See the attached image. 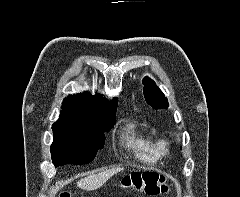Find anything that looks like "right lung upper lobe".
<instances>
[{
    "label": "right lung upper lobe",
    "instance_id": "1",
    "mask_svg": "<svg viewBox=\"0 0 240 197\" xmlns=\"http://www.w3.org/2000/svg\"><path fill=\"white\" fill-rule=\"evenodd\" d=\"M60 118L55 124L69 126H100L115 121L117 99L106 101L100 94L89 92L70 95L63 100ZM109 114L106 118L105 115Z\"/></svg>",
    "mask_w": 240,
    "mask_h": 197
}]
</instances>
